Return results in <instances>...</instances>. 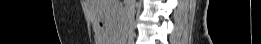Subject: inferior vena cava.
Wrapping results in <instances>:
<instances>
[{
  "label": "inferior vena cava",
  "instance_id": "inferior-vena-cava-1",
  "mask_svg": "<svg viewBox=\"0 0 261 44\" xmlns=\"http://www.w3.org/2000/svg\"><path fill=\"white\" fill-rule=\"evenodd\" d=\"M134 1L135 0H131L132 3ZM126 15H127V32L129 37H131L133 35V22H134V15H135V9L132 4L126 7Z\"/></svg>",
  "mask_w": 261,
  "mask_h": 44
}]
</instances>
